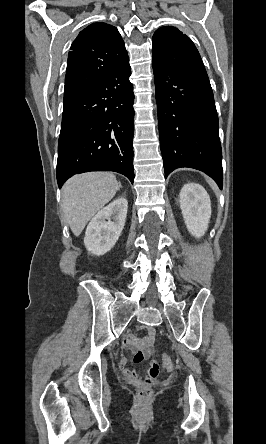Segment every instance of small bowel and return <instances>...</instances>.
<instances>
[{
  "mask_svg": "<svg viewBox=\"0 0 266 444\" xmlns=\"http://www.w3.org/2000/svg\"><path fill=\"white\" fill-rule=\"evenodd\" d=\"M155 331L153 328L148 329V335L144 338H139L137 336H129L124 342L123 346L134 352L133 361L135 363H140L146 358H149L152 354V344L154 340ZM119 368L126 377L128 381L134 384H153L155 383L159 375V364L155 360H150L149 368L147 370V375L142 380L139 374L128 368V359L122 358L119 362Z\"/></svg>",
  "mask_w": 266,
  "mask_h": 444,
  "instance_id": "small-bowel-1",
  "label": "small bowel"
}]
</instances>
